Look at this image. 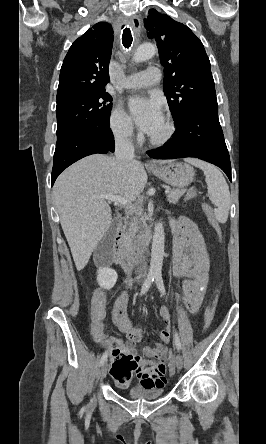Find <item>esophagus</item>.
Segmentation results:
<instances>
[{"label":"esophagus","mask_w":266,"mask_h":444,"mask_svg":"<svg viewBox=\"0 0 266 444\" xmlns=\"http://www.w3.org/2000/svg\"><path fill=\"white\" fill-rule=\"evenodd\" d=\"M129 22H130L132 28L134 29V31L136 33H139L140 29H141V20H140L139 16H137V15L133 16ZM146 166L154 167V166H156V163H154L152 161H148L146 163Z\"/></svg>","instance_id":"1"}]
</instances>
